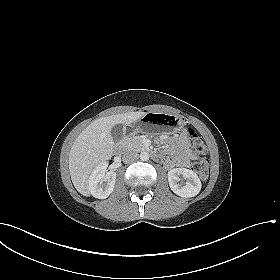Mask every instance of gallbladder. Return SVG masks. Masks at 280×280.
<instances>
[{
  "instance_id": "1",
  "label": "gallbladder",
  "mask_w": 280,
  "mask_h": 280,
  "mask_svg": "<svg viewBox=\"0 0 280 280\" xmlns=\"http://www.w3.org/2000/svg\"><path fill=\"white\" fill-rule=\"evenodd\" d=\"M111 135L114 142H119L124 137V125L116 124L111 129Z\"/></svg>"
}]
</instances>
